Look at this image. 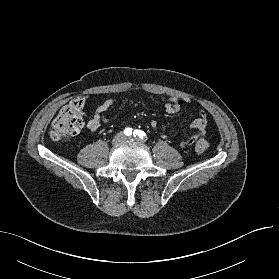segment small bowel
Here are the masks:
<instances>
[{
    "instance_id": "obj_1",
    "label": "small bowel",
    "mask_w": 279,
    "mask_h": 279,
    "mask_svg": "<svg viewBox=\"0 0 279 279\" xmlns=\"http://www.w3.org/2000/svg\"><path fill=\"white\" fill-rule=\"evenodd\" d=\"M189 102L186 98L172 97L170 98L164 106L165 112L167 114H174L185 106ZM114 101L108 99L104 101L94 112L93 117L88 121L87 128L95 132L97 131L102 123H107L108 118L106 116L107 111L112 107ZM207 126V115L204 111H200L199 116L191 123L190 127L197 130V133L190 137L187 140H184L180 143V147L185 148L189 147L196 142V140L204 136ZM151 127L156 128L157 122L152 121Z\"/></svg>"
}]
</instances>
